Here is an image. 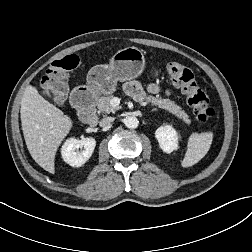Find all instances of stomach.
<instances>
[{
	"label": "stomach",
	"mask_w": 252,
	"mask_h": 252,
	"mask_svg": "<svg viewBox=\"0 0 252 252\" xmlns=\"http://www.w3.org/2000/svg\"><path fill=\"white\" fill-rule=\"evenodd\" d=\"M145 68V57L141 49L127 47L117 51L108 65H97L87 74L88 85H81L75 91H87L93 95L111 94L117 82H124L139 76Z\"/></svg>",
	"instance_id": "1"
}]
</instances>
